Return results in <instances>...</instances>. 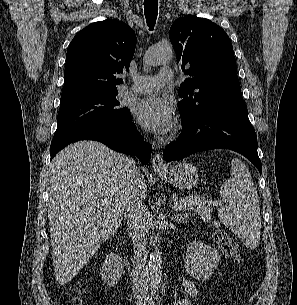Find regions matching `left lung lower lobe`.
<instances>
[{"label": "left lung lower lobe", "mask_w": 297, "mask_h": 305, "mask_svg": "<svg viewBox=\"0 0 297 305\" xmlns=\"http://www.w3.org/2000/svg\"><path fill=\"white\" fill-rule=\"evenodd\" d=\"M181 122V134L163 152L165 160L174 161L209 149H230L248 158L261 174L257 137L241 93L211 103L191 116H182Z\"/></svg>", "instance_id": "1"}]
</instances>
